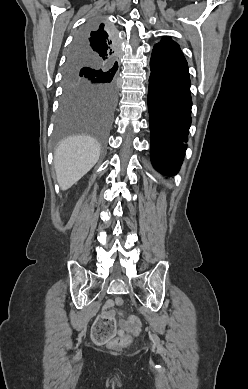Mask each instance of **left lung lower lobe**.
<instances>
[{
	"label": "left lung lower lobe",
	"instance_id": "obj_1",
	"mask_svg": "<svg viewBox=\"0 0 248 389\" xmlns=\"http://www.w3.org/2000/svg\"><path fill=\"white\" fill-rule=\"evenodd\" d=\"M150 70L151 162L158 172L171 176L183 162L191 125L190 78L179 45H155Z\"/></svg>",
	"mask_w": 248,
	"mask_h": 389
}]
</instances>
